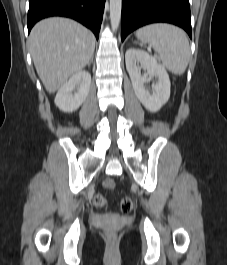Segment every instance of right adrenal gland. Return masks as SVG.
I'll return each instance as SVG.
<instances>
[{
    "instance_id": "2a0ac1e0",
    "label": "right adrenal gland",
    "mask_w": 227,
    "mask_h": 265,
    "mask_svg": "<svg viewBox=\"0 0 227 265\" xmlns=\"http://www.w3.org/2000/svg\"><path fill=\"white\" fill-rule=\"evenodd\" d=\"M92 62H93V56H92L91 60L89 61L88 66H90Z\"/></svg>"
}]
</instances>
